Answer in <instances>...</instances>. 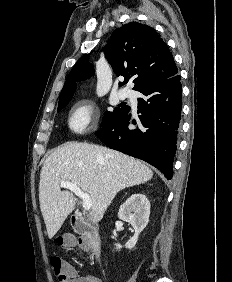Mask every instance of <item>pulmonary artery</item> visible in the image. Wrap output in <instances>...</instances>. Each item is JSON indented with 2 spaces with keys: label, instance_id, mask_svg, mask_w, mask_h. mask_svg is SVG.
Instances as JSON below:
<instances>
[{
  "label": "pulmonary artery",
  "instance_id": "pulmonary-artery-1",
  "mask_svg": "<svg viewBox=\"0 0 232 282\" xmlns=\"http://www.w3.org/2000/svg\"><path fill=\"white\" fill-rule=\"evenodd\" d=\"M129 96V93L128 92H121L120 93V98H126Z\"/></svg>",
  "mask_w": 232,
  "mask_h": 282
}]
</instances>
